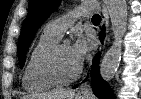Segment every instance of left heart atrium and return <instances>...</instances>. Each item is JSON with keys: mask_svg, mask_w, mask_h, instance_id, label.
Returning a JSON list of instances; mask_svg holds the SVG:
<instances>
[{"mask_svg": "<svg viewBox=\"0 0 141 99\" xmlns=\"http://www.w3.org/2000/svg\"><path fill=\"white\" fill-rule=\"evenodd\" d=\"M70 48L75 63L78 65V67H81L90 52L89 41L80 36L76 39L74 44L70 46Z\"/></svg>", "mask_w": 141, "mask_h": 99, "instance_id": "obj_1", "label": "left heart atrium"}]
</instances>
